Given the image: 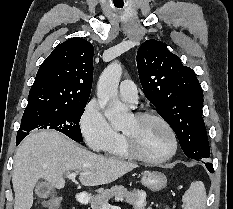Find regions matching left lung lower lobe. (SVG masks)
Returning <instances> with one entry per match:
<instances>
[{
    "label": "left lung lower lobe",
    "instance_id": "1",
    "mask_svg": "<svg viewBox=\"0 0 233 209\" xmlns=\"http://www.w3.org/2000/svg\"><path fill=\"white\" fill-rule=\"evenodd\" d=\"M206 167H207V169L209 170V172H211V173H213L214 172V170H213V165L212 164H206Z\"/></svg>",
    "mask_w": 233,
    "mask_h": 209
}]
</instances>
